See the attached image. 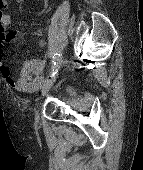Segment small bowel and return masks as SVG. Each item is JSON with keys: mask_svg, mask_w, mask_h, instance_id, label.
<instances>
[{"mask_svg": "<svg viewBox=\"0 0 143 170\" xmlns=\"http://www.w3.org/2000/svg\"><path fill=\"white\" fill-rule=\"evenodd\" d=\"M20 1V0H16ZM12 25V18L9 14L0 15V73L4 77L6 83L22 92H34L38 90L44 82L42 71L45 63L41 59L32 58L26 60L19 72L17 78L12 76L11 69L7 65L3 57V44L13 40L16 37L22 36L25 33L22 31H8ZM45 40H39V46L44 47Z\"/></svg>", "mask_w": 143, "mask_h": 170, "instance_id": "c3829d8e", "label": "small bowel"}]
</instances>
